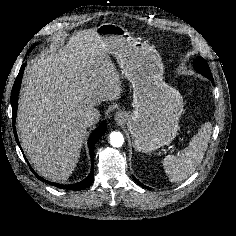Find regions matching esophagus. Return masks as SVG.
<instances>
[{"label": "esophagus", "mask_w": 236, "mask_h": 236, "mask_svg": "<svg viewBox=\"0 0 236 236\" xmlns=\"http://www.w3.org/2000/svg\"><path fill=\"white\" fill-rule=\"evenodd\" d=\"M115 118L116 120H121L122 116L120 113H116Z\"/></svg>", "instance_id": "1"}]
</instances>
